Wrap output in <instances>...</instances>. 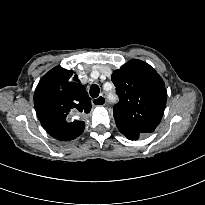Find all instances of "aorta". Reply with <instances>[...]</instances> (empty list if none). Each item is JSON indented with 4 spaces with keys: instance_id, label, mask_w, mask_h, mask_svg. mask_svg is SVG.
I'll list each match as a JSON object with an SVG mask.
<instances>
[{
    "instance_id": "762f6f07",
    "label": "aorta",
    "mask_w": 205,
    "mask_h": 205,
    "mask_svg": "<svg viewBox=\"0 0 205 205\" xmlns=\"http://www.w3.org/2000/svg\"><path fill=\"white\" fill-rule=\"evenodd\" d=\"M115 99V96H113L112 94L109 95V99Z\"/></svg>"
}]
</instances>
